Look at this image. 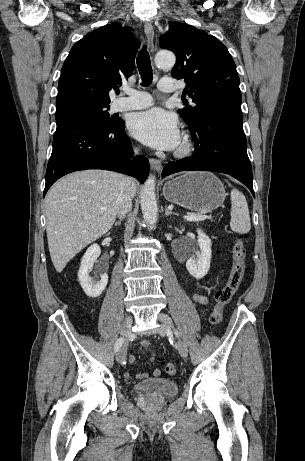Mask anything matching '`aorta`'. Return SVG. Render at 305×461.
<instances>
[{"label": "aorta", "mask_w": 305, "mask_h": 461, "mask_svg": "<svg viewBox=\"0 0 305 461\" xmlns=\"http://www.w3.org/2000/svg\"><path fill=\"white\" fill-rule=\"evenodd\" d=\"M175 61V55L168 51H160L155 56V63L159 68H171L174 66ZM155 185V176L150 175L145 181L140 194L142 214L150 230L155 227L158 215Z\"/></svg>", "instance_id": "1"}]
</instances>
